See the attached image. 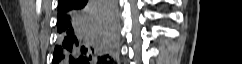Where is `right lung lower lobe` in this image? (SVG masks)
I'll use <instances>...</instances> for the list:
<instances>
[{"mask_svg": "<svg viewBox=\"0 0 242 64\" xmlns=\"http://www.w3.org/2000/svg\"><path fill=\"white\" fill-rule=\"evenodd\" d=\"M117 29V0H65L58 6L52 64H111Z\"/></svg>", "mask_w": 242, "mask_h": 64, "instance_id": "1", "label": "right lung lower lobe"}]
</instances>
